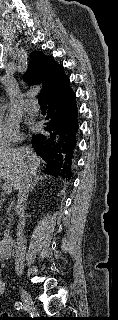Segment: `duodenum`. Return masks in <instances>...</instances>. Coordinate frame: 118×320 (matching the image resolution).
Returning <instances> with one entry per match:
<instances>
[{
    "mask_svg": "<svg viewBox=\"0 0 118 320\" xmlns=\"http://www.w3.org/2000/svg\"><path fill=\"white\" fill-rule=\"evenodd\" d=\"M13 238L11 236L6 237L0 241V258H8L13 246Z\"/></svg>",
    "mask_w": 118,
    "mask_h": 320,
    "instance_id": "410a0bca",
    "label": "duodenum"
}]
</instances>
